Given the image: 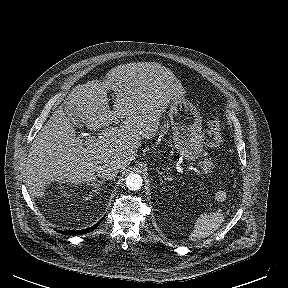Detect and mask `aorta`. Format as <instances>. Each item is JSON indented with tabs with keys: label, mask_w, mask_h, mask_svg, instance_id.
Returning a JSON list of instances; mask_svg holds the SVG:
<instances>
[{
	"label": "aorta",
	"mask_w": 288,
	"mask_h": 288,
	"mask_svg": "<svg viewBox=\"0 0 288 288\" xmlns=\"http://www.w3.org/2000/svg\"><path fill=\"white\" fill-rule=\"evenodd\" d=\"M143 179L139 174H130L126 178V187L129 190L136 191L142 187Z\"/></svg>",
	"instance_id": "obj_1"
}]
</instances>
